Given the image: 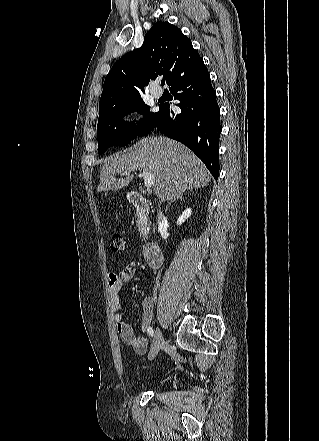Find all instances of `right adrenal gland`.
Segmentation results:
<instances>
[{
    "label": "right adrenal gland",
    "instance_id": "obj_1",
    "mask_svg": "<svg viewBox=\"0 0 319 441\" xmlns=\"http://www.w3.org/2000/svg\"><path fill=\"white\" fill-rule=\"evenodd\" d=\"M172 202H173V201H171V202L169 203V206H168V207H170V206H171ZM168 207L166 208V210L168 209Z\"/></svg>",
    "mask_w": 319,
    "mask_h": 441
}]
</instances>
